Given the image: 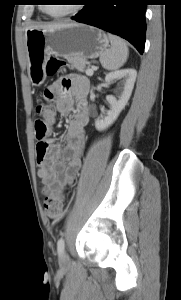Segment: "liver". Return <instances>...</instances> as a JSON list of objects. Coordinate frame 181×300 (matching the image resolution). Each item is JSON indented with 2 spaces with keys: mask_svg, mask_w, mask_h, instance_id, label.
I'll return each instance as SVG.
<instances>
[{
  "mask_svg": "<svg viewBox=\"0 0 181 300\" xmlns=\"http://www.w3.org/2000/svg\"><path fill=\"white\" fill-rule=\"evenodd\" d=\"M67 25H69V24H66V23L45 24V25H36V26L31 27L30 29H41L44 31H52L54 29L64 27Z\"/></svg>",
  "mask_w": 181,
  "mask_h": 300,
  "instance_id": "liver-1",
  "label": "liver"
}]
</instances>
